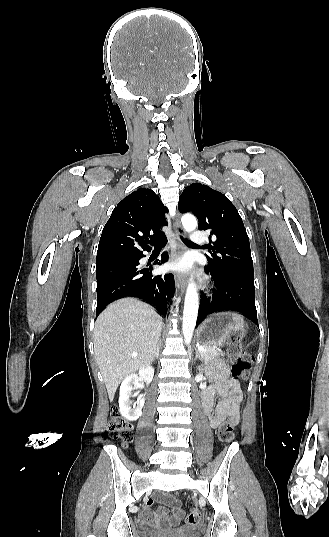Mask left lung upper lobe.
<instances>
[{"mask_svg": "<svg viewBox=\"0 0 329 537\" xmlns=\"http://www.w3.org/2000/svg\"><path fill=\"white\" fill-rule=\"evenodd\" d=\"M179 210L192 212L199 230H210L216 238L212 252L206 255L208 269L216 274L254 279L249 238L243 221L232 202L207 185L193 183L179 198Z\"/></svg>", "mask_w": 329, "mask_h": 537, "instance_id": "1", "label": "left lung upper lobe"}]
</instances>
